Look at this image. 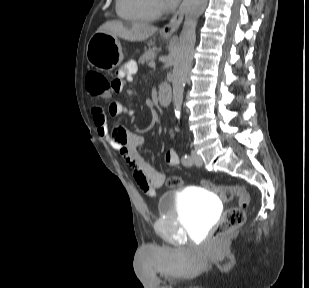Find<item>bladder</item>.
<instances>
[{
    "label": "bladder",
    "instance_id": "obj_1",
    "mask_svg": "<svg viewBox=\"0 0 309 288\" xmlns=\"http://www.w3.org/2000/svg\"><path fill=\"white\" fill-rule=\"evenodd\" d=\"M160 218H175L192 234H202L220 211L217 196L192 188L164 192L157 201Z\"/></svg>",
    "mask_w": 309,
    "mask_h": 288
}]
</instances>
